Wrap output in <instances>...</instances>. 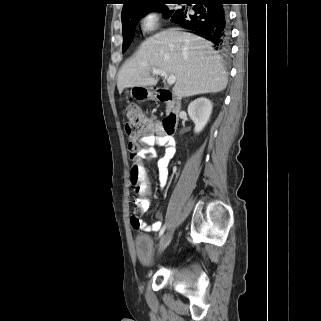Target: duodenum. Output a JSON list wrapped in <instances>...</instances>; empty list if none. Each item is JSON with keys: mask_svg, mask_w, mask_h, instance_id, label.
Returning <instances> with one entry per match:
<instances>
[{"mask_svg": "<svg viewBox=\"0 0 321 321\" xmlns=\"http://www.w3.org/2000/svg\"><path fill=\"white\" fill-rule=\"evenodd\" d=\"M153 95L156 100L167 104L170 108L169 113L162 122V127L167 134L172 135L178 123L181 99L170 90L164 88L156 89Z\"/></svg>", "mask_w": 321, "mask_h": 321, "instance_id": "410a0bca", "label": "duodenum"}]
</instances>
